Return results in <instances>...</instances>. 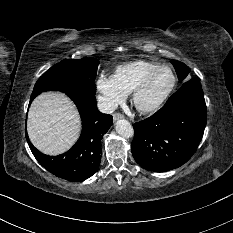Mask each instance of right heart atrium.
Segmentation results:
<instances>
[{"label":"right heart atrium","mask_w":233,"mask_h":233,"mask_svg":"<svg viewBox=\"0 0 233 233\" xmlns=\"http://www.w3.org/2000/svg\"><path fill=\"white\" fill-rule=\"evenodd\" d=\"M98 100L106 110H112L127 98V93L119 86L114 76L100 73L95 81Z\"/></svg>","instance_id":"right-heart-atrium-1"}]
</instances>
